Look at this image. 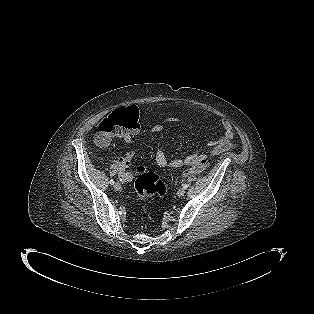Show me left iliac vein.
<instances>
[{
	"label": "left iliac vein",
	"instance_id": "4c4485c4",
	"mask_svg": "<svg viewBox=\"0 0 314 314\" xmlns=\"http://www.w3.org/2000/svg\"><path fill=\"white\" fill-rule=\"evenodd\" d=\"M184 194H185V189H184V188H180V189L177 191V195H178L179 197H182Z\"/></svg>",
	"mask_w": 314,
	"mask_h": 314
}]
</instances>
